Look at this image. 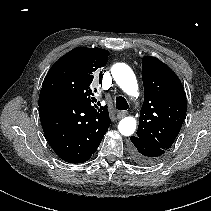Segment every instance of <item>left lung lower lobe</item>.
I'll return each mask as SVG.
<instances>
[{
    "instance_id": "left-lung-lower-lobe-1",
    "label": "left lung lower lobe",
    "mask_w": 211,
    "mask_h": 211,
    "mask_svg": "<svg viewBox=\"0 0 211 211\" xmlns=\"http://www.w3.org/2000/svg\"><path fill=\"white\" fill-rule=\"evenodd\" d=\"M130 140L131 157L139 165L155 164L165 153V150L154 147L137 136H132Z\"/></svg>"
}]
</instances>
